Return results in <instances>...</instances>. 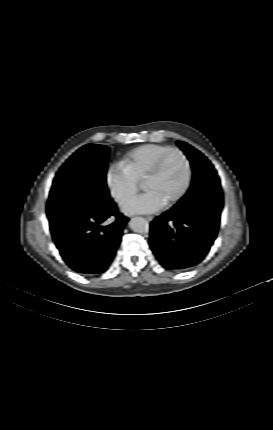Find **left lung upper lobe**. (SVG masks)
I'll return each mask as SVG.
<instances>
[{
	"label": "left lung upper lobe",
	"instance_id": "5c2ea615",
	"mask_svg": "<svg viewBox=\"0 0 273 430\" xmlns=\"http://www.w3.org/2000/svg\"><path fill=\"white\" fill-rule=\"evenodd\" d=\"M177 143L190 160L193 168L192 184L186 195L195 194L204 188L221 190L220 179L210 161L187 143L182 141H177Z\"/></svg>",
	"mask_w": 273,
	"mask_h": 430
}]
</instances>
